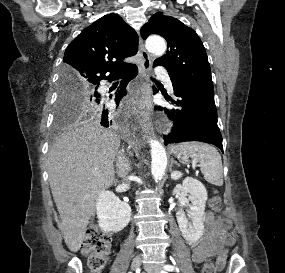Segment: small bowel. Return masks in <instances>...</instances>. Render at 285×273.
<instances>
[{
  "instance_id": "small-bowel-1",
  "label": "small bowel",
  "mask_w": 285,
  "mask_h": 273,
  "mask_svg": "<svg viewBox=\"0 0 285 273\" xmlns=\"http://www.w3.org/2000/svg\"><path fill=\"white\" fill-rule=\"evenodd\" d=\"M205 223V235L193 248L192 259L201 262L206 256L217 254V268L222 269L227 259L228 248L233 245V238L228 233L230 222L217 219L212 212H207Z\"/></svg>"
}]
</instances>
